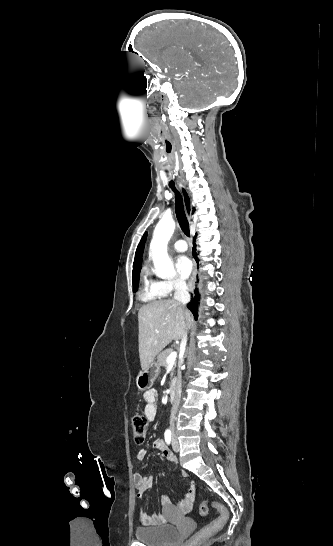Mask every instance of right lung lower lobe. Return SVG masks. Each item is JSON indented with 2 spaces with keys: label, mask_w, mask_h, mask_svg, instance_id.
Wrapping results in <instances>:
<instances>
[{
  "label": "right lung lower lobe",
  "mask_w": 333,
  "mask_h": 546,
  "mask_svg": "<svg viewBox=\"0 0 333 546\" xmlns=\"http://www.w3.org/2000/svg\"><path fill=\"white\" fill-rule=\"evenodd\" d=\"M193 257L198 263L195 245L193 247ZM197 266H199V264ZM194 293H195V297L191 299V301L187 304V307L192 311L195 318H197L198 300H199V293L197 288L194 290Z\"/></svg>",
  "instance_id": "obj_1"
}]
</instances>
